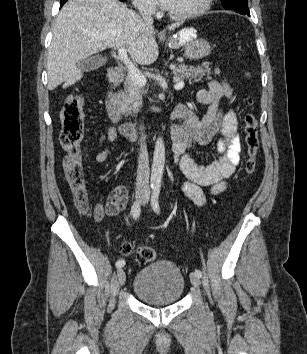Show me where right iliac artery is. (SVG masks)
I'll list each match as a JSON object with an SVG mask.
<instances>
[{
  "label": "right iliac artery",
  "mask_w": 307,
  "mask_h": 354,
  "mask_svg": "<svg viewBox=\"0 0 307 354\" xmlns=\"http://www.w3.org/2000/svg\"><path fill=\"white\" fill-rule=\"evenodd\" d=\"M131 214L134 219L139 218L140 215V202L136 201L134 202L132 208H131ZM125 265V260L119 259L116 262V267L117 268H122Z\"/></svg>",
  "instance_id": "right-iliac-artery-1"
}]
</instances>
